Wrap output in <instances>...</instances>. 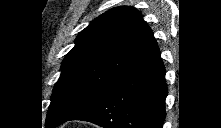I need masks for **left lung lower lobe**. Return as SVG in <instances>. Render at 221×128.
Listing matches in <instances>:
<instances>
[{
	"mask_svg": "<svg viewBox=\"0 0 221 128\" xmlns=\"http://www.w3.org/2000/svg\"><path fill=\"white\" fill-rule=\"evenodd\" d=\"M166 96L165 69L156 44L102 97L69 120L104 128H162Z\"/></svg>",
	"mask_w": 221,
	"mask_h": 128,
	"instance_id": "left-lung-lower-lobe-1",
	"label": "left lung lower lobe"
}]
</instances>
